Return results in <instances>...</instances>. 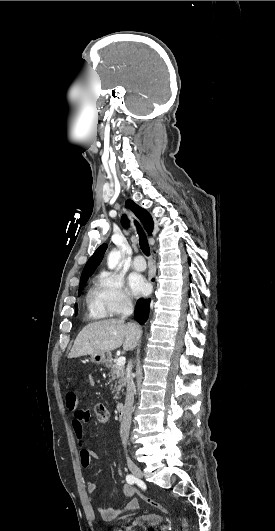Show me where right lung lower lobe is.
Instances as JSON below:
<instances>
[{"label":"right lung lower lobe","instance_id":"98d812e1","mask_svg":"<svg viewBox=\"0 0 275 531\" xmlns=\"http://www.w3.org/2000/svg\"><path fill=\"white\" fill-rule=\"evenodd\" d=\"M154 280V279H153ZM150 299H139L135 307V319L140 324H144L149 316Z\"/></svg>","mask_w":275,"mask_h":531}]
</instances>
